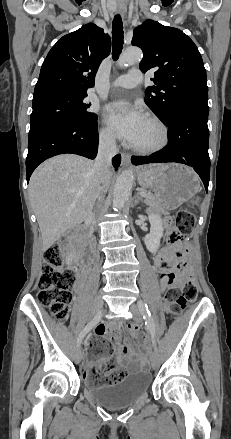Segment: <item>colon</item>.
Masks as SVG:
<instances>
[{
  "instance_id": "colon-1",
  "label": "colon",
  "mask_w": 231,
  "mask_h": 439,
  "mask_svg": "<svg viewBox=\"0 0 231 439\" xmlns=\"http://www.w3.org/2000/svg\"><path fill=\"white\" fill-rule=\"evenodd\" d=\"M194 221V215L190 211L186 209L178 211L174 218L176 231L170 236L171 243H182L183 234L193 228ZM187 256L188 253L185 250L178 253L175 262L178 274L168 271L161 275L162 283L166 288L164 297L166 310L172 315H179L186 302L194 301L198 297V287L188 279L186 273ZM75 279V273L65 262L60 247L58 245L49 247L44 253L37 301L40 305L48 307L51 314L58 320L65 319L68 314ZM129 330L132 334H136L138 327L132 325ZM89 347V354L92 358H106L112 351L110 344L99 337L91 338ZM104 368L90 369L87 379L90 386L116 384L126 376V371L122 368L113 367L108 371H104Z\"/></svg>"
}]
</instances>
